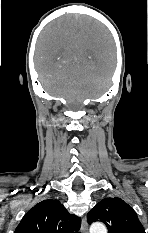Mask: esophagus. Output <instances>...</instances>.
Instances as JSON below:
<instances>
[{"mask_svg": "<svg viewBox=\"0 0 148 233\" xmlns=\"http://www.w3.org/2000/svg\"><path fill=\"white\" fill-rule=\"evenodd\" d=\"M82 233H89L88 224L85 218L82 219Z\"/></svg>", "mask_w": 148, "mask_h": 233, "instance_id": "34e87169", "label": "esophagus"}]
</instances>
